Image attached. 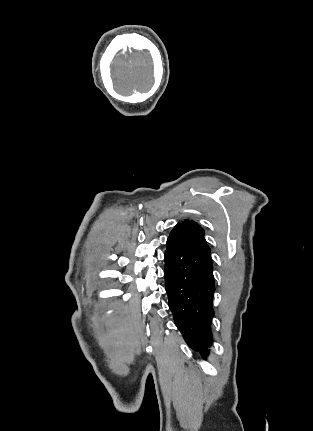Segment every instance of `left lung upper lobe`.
Instances as JSON below:
<instances>
[{
  "label": "left lung upper lobe",
  "instance_id": "1",
  "mask_svg": "<svg viewBox=\"0 0 313 431\" xmlns=\"http://www.w3.org/2000/svg\"><path fill=\"white\" fill-rule=\"evenodd\" d=\"M177 225H182L185 228H187L189 231H191L194 235L204 239V230L203 228H201V226H199L197 223L190 221V220H185L183 223H178Z\"/></svg>",
  "mask_w": 313,
  "mask_h": 431
}]
</instances>
